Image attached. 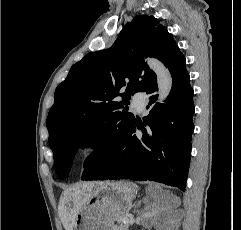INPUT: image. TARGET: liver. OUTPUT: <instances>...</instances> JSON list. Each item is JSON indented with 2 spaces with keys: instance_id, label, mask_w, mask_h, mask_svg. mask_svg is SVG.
Listing matches in <instances>:
<instances>
[{
  "instance_id": "liver-1",
  "label": "liver",
  "mask_w": 241,
  "mask_h": 230,
  "mask_svg": "<svg viewBox=\"0 0 241 230\" xmlns=\"http://www.w3.org/2000/svg\"><path fill=\"white\" fill-rule=\"evenodd\" d=\"M91 197V192L85 193L83 189L67 190L63 192L60 200L59 215L65 230H73L76 217L80 209L87 203ZM72 202L73 206L68 207L67 204Z\"/></svg>"
}]
</instances>
